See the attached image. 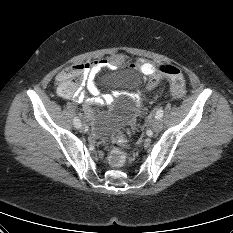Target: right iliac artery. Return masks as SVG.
<instances>
[{"mask_svg":"<svg viewBox=\"0 0 233 233\" xmlns=\"http://www.w3.org/2000/svg\"><path fill=\"white\" fill-rule=\"evenodd\" d=\"M73 122L76 128H79L81 126V122L78 117H75Z\"/></svg>","mask_w":233,"mask_h":233,"instance_id":"right-iliac-artery-1","label":"right iliac artery"}]
</instances>
